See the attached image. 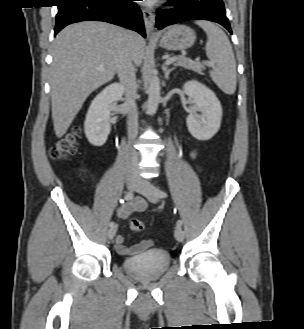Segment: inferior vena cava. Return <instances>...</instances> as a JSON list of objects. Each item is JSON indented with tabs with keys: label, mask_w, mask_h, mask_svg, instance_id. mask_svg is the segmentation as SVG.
<instances>
[{
	"label": "inferior vena cava",
	"mask_w": 304,
	"mask_h": 329,
	"mask_svg": "<svg viewBox=\"0 0 304 329\" xmlns=\"http://www.w3.org/2000/svg\"><path fill=\"white\" fill-rule=\"evenodd\" d=\"M117 74L125 92L124 108L127 112L129 140H134L138 134V113L135 102L137 90L136 74L127 37H124V47L119 57ZM128 175L139 179L138 154L133 151L128 162Z\"/></svg>",
	"instance_id": "602c4592"
}]
</instances>
